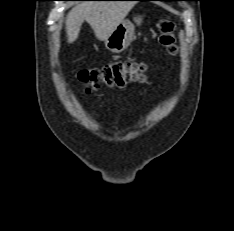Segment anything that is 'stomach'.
Instances as JSON below:
<instances>
[{
  "label": "stomach",
  "instance_id": "0dacf381",
  "mask_svg": "<svg viewBox=\"0 0 234 231\" xmlns=\"http://www.w3.org/2000/svg\"><path fill=\"white\" fill-rule=\"evenodd\" d=\"M135 22L141 25L142 17H136ZM135 26L129 20H123L105 39L106 48L113 53H121L130 45L134 37Z\"/></svg>",
  "mask_w": 234,
  "mask_h": 231
}]
</instances>
